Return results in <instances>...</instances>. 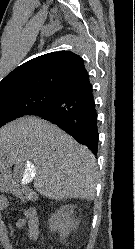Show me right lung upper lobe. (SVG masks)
Here are the masks:
<instances>
[{
	"instance_id": "obj_1",
	"label": "right lung upper lobe",
	"mask_w": 135,
	"mask_h": 249,
	"mask_svg": "<svg viewBox=\"0 0 135 249\" xmlns=\"http://www.w3.org/2000/svg\"><path fill=\"white\" fill-rule=\"evenodd\" d=\"M89 83L84 60L73 52L59 51L36 57L15 68L0 82V95L30 91L62 93Z\"/></svg>"
}]
</instances>
